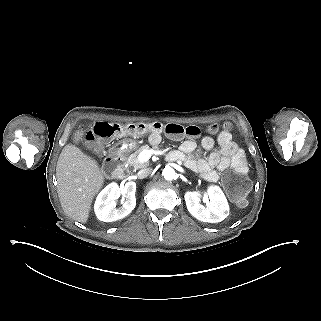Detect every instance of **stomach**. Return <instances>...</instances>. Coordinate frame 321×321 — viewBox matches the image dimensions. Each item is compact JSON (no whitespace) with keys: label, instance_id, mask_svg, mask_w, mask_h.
<instances>
[{"label":"stomach","instance_id":"1","mask_svg":"<svg viewBox=\"0 0 321 321\" xmlns=\"http://www.w3.org/2000/svg\"><path fill=\"white\" fill-rule=\"evenodd\" d=\"M124 143H126V144H127V143H128V141H120V142H118V143L115 145V147H116V146H118V145L124 144Z\"/></svg>","mask_w":321,"mask_h":321}]
</instances>
